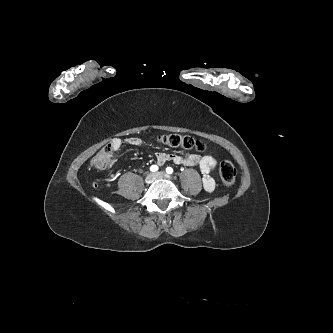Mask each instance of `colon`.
<instances>
[{
    "mask_svg": "<svg viewBox=\"0 0 333 333\" xmlns=\"http://www.w3.org/2000/svg\"><path fill=\"white\" fill-rule=\"evenodd\" d=\"M160 141L165 145L170 147H177L186 150H195L198 152H202L205 149V145L203 142L195 139L189 135H180V134H168L160 137ZM111 148L107 147L101 155H97L92 160V166L96 169H103L106 167L108 161L107 156L110 154ZM219 173L223 184L226 187H231L236 179V168L235 166L228 160H224L219 165Z\"/></svg>",
    "mask_w": 333,
    "mask_h": 333,
    "instance_id": "5ec220e1",
    "label": "colon"
}]
</instances>
